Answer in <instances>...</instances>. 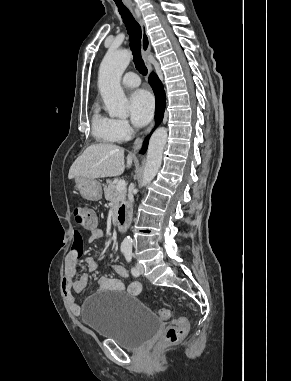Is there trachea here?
I'll return each instance as SVG.
<instances>
[{"label": "trachea", "instance_id": "trachea-1", "mask_svg": "<svg viewBox=\"0 0 291 381\" xmlns=\"http://www.w3.org/2000/svg\"><path fill=\"white\" fill-rule=\"evenodd\" d=\"M116 6L118 7V11L122 16V19L126 25L128 30L129 38H130V46L133 53V62L135 64L136 69L142 74L147 75V68L144 64V61L141 57V27L134 19L133 15L129 11V9L122 3L115 0Z\"/></svg>", "mask_w": 291, "mask_h": 381}]
</instances>
